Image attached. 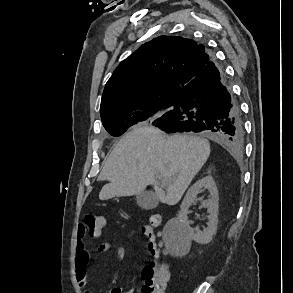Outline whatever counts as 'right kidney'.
Returning a JSON list of instances; mask_svg holds the SVG:
<instances>
[{
  "instance_id": "right-kidney-1",
  "label": "right kidney",
  "mask_w": 293,
  "mask_h": 293,
  "mask_svg": "<svg viewBox=\"0 0 293 293\" xmlns=\"http://www.w3.org/2000/svg\"><path fill=\"white\" fill-rule=\"evenodd\" d=\"M203 189H207L210 193L209 199L202 202L203 206L208 209L209 216L207 228L200 231L194 230L190 227L187 215L189 207L192 203L198 200L197 195ZM218 201V190L211 176L199 179L189 188L181 204V210L176 220L178 230L185 238L186 247H189V242L191 240H194L200 244H207L212 240L213 235L216 233L218 224Z\"/></svg>"
}]
</instances>
